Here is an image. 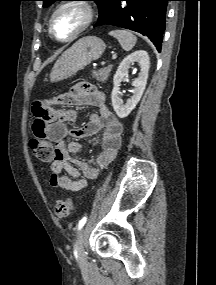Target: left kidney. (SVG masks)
<instances>
[{
    "mask_svg": "<svg viewBox=\"0 0 216 285\" xmlns=\"http://www.w3.org/2000/svg\"><path fill=\"white\" fill-rule=\"evenodd\" d=\"M134 62L139 63L141 71L138 78L132 82V86L134 87L132 97L128 99L126 103H123V101L119 98L120 82L124 77L128 76V69ZM149 67V56L144 50L133 52L120 63L113 78L114 87L111 95L114 111L119 118L127 117L140 101L147 84Z\"/></svg>",
    "mask_w": 216,
    "mask_h": 285,
    "instance_id": "left-kidney-1",
    "label": "left kidney"
}]
</instances>
